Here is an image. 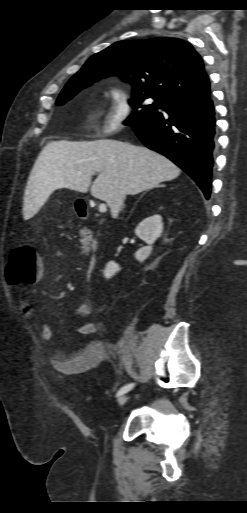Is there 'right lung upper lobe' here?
I'll return each instance as SVG.
<instances>
[{
	"label": "right lung upper lobe",
	"mask_w": 247,
	"mask_h": 513,
	"mask_svg": "<svg viewBox=\"0 0 247 513\" xmlns=\"http://www.w3.org/2000/svg\"><path fill=\"white\" fill-rule=\"evenodd\" d=\"M135 72L133 90L163 102L195 100L210 95L203 59L188 42L177 38L123 40L96 53L71 79Z\"/></svg>",
	"instance_id": "cb5924a9"
}]
</instances>
